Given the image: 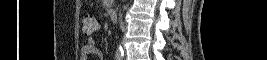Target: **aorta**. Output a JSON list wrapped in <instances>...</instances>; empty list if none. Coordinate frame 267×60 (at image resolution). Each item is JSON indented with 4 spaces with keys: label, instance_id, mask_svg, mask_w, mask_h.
Wrapping results in <instances>:
<instances>
[{
    "label": "aorta",
    "instance_id": "1",
    "mask_svg": "<svg viewBox=\"0 0 267 60\" xmlns=\"http://www.w3.org/2000/svg\"><path fill=\"white\" fill-rule=\"evenodd\" d=\"M117 51H118L119 53H121V52H122V48L119 47V48L117 49Z\"/></svg>",
    "mask_w": 267,
    "mask_h": 60
}]
</instances>
